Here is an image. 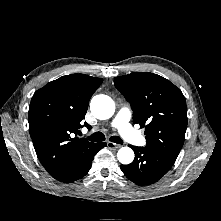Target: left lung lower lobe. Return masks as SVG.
I'll return each instance as SVG.
<instances>
[{"mask_svg":"<svg viewBox=\"0 0 221 221\" xmlns=\"http://www.w3.org/2000/svg\"><path fill=\"white\" fill-rule=\"evenodd\" d=\"M135 153L130 165H121L125 176L137 185H149L158 181L174 164L177 157L148 147L130 146Z\"/></svg>","mask_w":221,"mask_h":221,"instance_id":"1","label":"left lung lower lobe"}]
</instances>
